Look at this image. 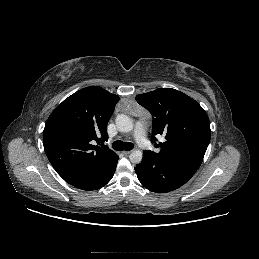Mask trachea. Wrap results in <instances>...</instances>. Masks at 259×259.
<instances>
[{
  "label": "trachea",
  "mask_w": 259,
  "mask_h": 259,
  "mask_svg": "<svg viewBox=\"0 0 259 259\" xmlns=\"http://www.w3.org/2000/svg\"><path fill=\"white\" fill-rule=\"evenodd\" d=\"M113 149L117 151H123V150H132L134 148V145L130 142H122L120 140H117L113 143Z\"/></svg>",
  "instance_id": "obj_1"
}]
</instances>
